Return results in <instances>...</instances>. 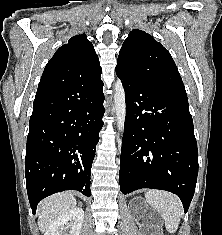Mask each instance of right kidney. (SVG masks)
<instances>
[{"instance_id": "right-kidney-1", "label": "right kidney", "mask_w": 222, "mask_h": 235, "mask_svg": "<svg viewBox=\"0 0 222 235\" xmlns=\"http://www.w3.org/2000/svg\"><path fill=\"white\" fill-rule=\"evenodd\" d=\"M83 219V209L74 208L55 218L47 227L44 235H80ZM65 228H70L69 234L63 232Z\"/></svg>"}]
</instances>
